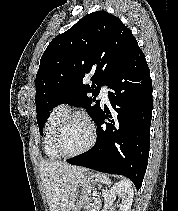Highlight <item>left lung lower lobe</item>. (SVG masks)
Returning <instances> with one entry per match:
<instances>
[{
	"label": "left lung lower lobe",
	"instance_id": "left-lung-lower-lobe-1",
	"mask_svg": "<svg viewBox=\"0 0 178 211\" xmlns=\"http://www.w3.org/2000/svg\"><path fill=\"white\" fill-rule=\"evenodd\" d=\"M108 87L113 112L105 106L95 119L96 145L67 162L126 176L139 189L148 162L153 103L150 70L138 45L111 77Z\"/></svg>",
	"mask_w": 178,
	"mask_h": 211
}]
</instances>
